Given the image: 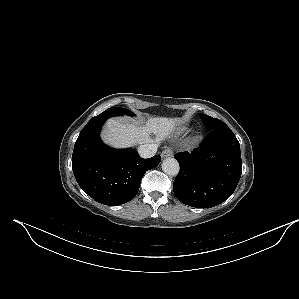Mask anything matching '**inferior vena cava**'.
I'll list each match as a JSON object with an SVG mask.
<instances>
[{
    "instance_id": "602c4592",
    "label": "inferior vena cava",
    "mask_w": 299,
    "mask_h": 299,
    "mask_svg": "<svg viewBox=\"0 0 299 299\" xmlns=\"http://www.w3.org/2000/svg\"><path fill=\"white\" fill-rule=\"evenodd\" d=\"M157 148L156 143L142 144L138 148V153L142 158H150L156 154Z\"/></svg>"
}]
</instances>
